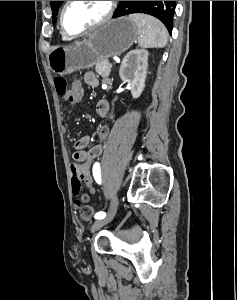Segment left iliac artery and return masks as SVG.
I'll return each instance as SVG.
<instances>
[{
	"label": "left iliac artery",
	"instance_id": "left-iliac-artery-1",
	"mask_svg": "<svg viewBox=\"0 0 237 300\" xmlns=\"http://www.w3.org/2000/svg\"><path fill=\"white\" fill-rule=\"evenodd\" d=\"M93 176H94L95 181L98 184H101V170H100V164L98 162H96L93 165ZM105 216H106L105 212H98L95 214V219H103V218H105Z\"/></svg>",
	"mask_w": 237,
	"mask_h": 300
}]
</instances>
